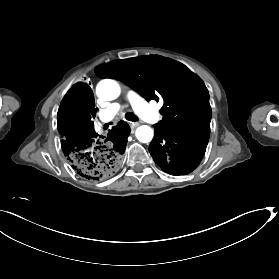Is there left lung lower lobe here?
I'll return each instance as SVG.
<instances>
[{"instance_id": "0a47b994", "label": "left lung lower lobe", "mask_w": 279, "mask_h": 279, "mask_svg": "<svg viewBox=\"0 0 279 279\" xmlns=\"http://www.w3.org/2000/svg\"><path fill=\"white\" fill-rule=\"evenodd\" d=\"M149 152L155 163L170 175H185L201 162L209 136L185 135L154 126Z\"/></svg>"}]
</instances>
